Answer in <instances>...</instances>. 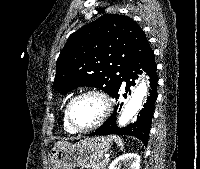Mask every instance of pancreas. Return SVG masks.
<instances>
[{
  "instance_id": "1",
  "label": "pancreas",
  "mask_w": 200,
  "mask_h": 169,
  "mask_svg": "<svg viewBox=\"0 0 200 169\" xmlns=\"http://www.w3.org/2000/svg\"><path fill=\"white\" fill-rule=\"evenodd\" d=\"M107 164H108V160H103L102 162L94 164L90 167H92V169H105Z\"/></svg>"
}]
</instances>
